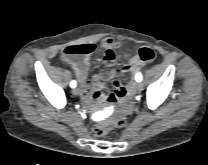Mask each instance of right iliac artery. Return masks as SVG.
Here are the masks:
<instances>
[{"label": "right iliac artery", "instance_id": "right-iliac-artery-1", "mask_svg": "<svg viewBox=\"0 0 208 165\" xmlns=\"http://www.w3.org/2000/svg\"><path fill=\"white\" fill-rule=\"evenodd\" d=\"M70 86H71L72 88H74V87L76 86V81H72V82L70 83Z\"/></svg>", "mask_w": 208, "mask_h": 165}]
</instances>
